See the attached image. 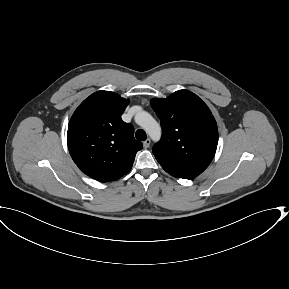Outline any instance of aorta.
Returning <instances> with one entry per match:
<instances>
[{
    "mask_svg": "<svg viewBox=\"0 0 289 289\" xmlns=\"http://www.w3.org/2000/svg\"><path fill=\"white\" fill-rule=\"evenodd\" d=\"M135 121L153 139L157 141L161 137V127L159 123L147 112L142 111L136 114Z\"/></svg>",
    "mask_w": 289,
    "mask_h": 289,
    "instance_id": "aorta-1",
    "label": "aorta"
}]
</instances>
